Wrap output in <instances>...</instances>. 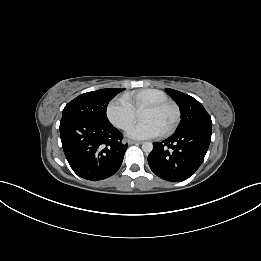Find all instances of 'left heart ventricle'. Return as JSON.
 <instances>
[{"mask_svg":"<svg viewBox=\"0 0 261 261\" xmlns=\"http://www.w3.org/2000/svg\"><path fill=\"white\" fill-rule=\"evenodd\" d=\"M174 117L173 111L171 109L164 110H151L144 109L141 113L142 120H151L156 122L163 131L170 125Z\"/></svg>","mask_w":261,"mask_h":261,"instance_id":"b2bd125f","label":"left heart ventricle"}]
</instances>
